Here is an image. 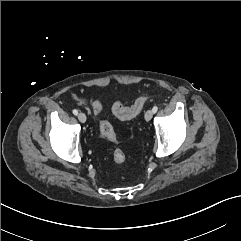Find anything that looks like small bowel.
I'll list each match as a JSON object with an SVG mask.
<instances>
[{"label":"small bowel","instance_id":"obj_1","mask_svg":"<svg viewBox=\"0 0 241 241\" xmlns=\"http://www.w3.org/2000/svg\"><path fill=\"white\" fill-rule=\"evenodd\" d=\"M80 103H83V104H86L87 102L81 98H76ZM92 111L95 113V114H99L102 110V104L100 101L98 100H94L92 102L89 103Z\"/></svg>","mask_w":241,"mask_h":241}]
</instances>
